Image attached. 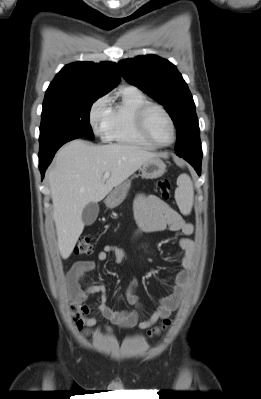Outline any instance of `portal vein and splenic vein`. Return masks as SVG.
I'll return each instance as SVG.
<instances>
[{
	"instance_id": "1",
	"label": "portal vein and splenic vein",
	"mask_w": 261,
	"mask_h": 399,
	"mask_svg": "<svg viewBox=\"0 0 261 399\" xmlns=\"http://www.w3.org/2000/svg\"><path fill=\"white\" fill-rule=\"evenodd\" d=\"M109 176H110V172L107 171L104 173L103 179L106 180L107 178H109Z\"/></svg>"
}]
</instances>
